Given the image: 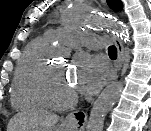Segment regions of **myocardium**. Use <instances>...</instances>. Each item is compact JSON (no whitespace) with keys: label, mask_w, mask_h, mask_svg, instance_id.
<instances>
[{"label":"myocardium","mask_w":151,"mask_h":131,"mask_svg":"<svg viewBox=\"0 0 151 131\" xmlns=\"http://www.w3.org/2000/svg\"><path fill=\"white\" fill-rule=\"evenodd\" d=\"M53 67L46 65L36 83V93L42 105L51 109H66L77 102V95L71 94L63 99L52 98L48 92V82L53 74Z\"/></svg>","instance_id":"1"}]
</instances>
